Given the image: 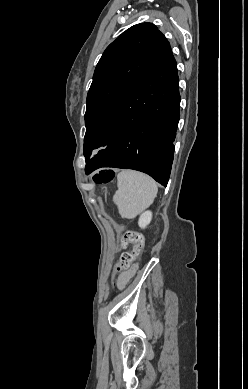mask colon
Here are the masks:
<instances>
[{"label":"colon","mask_w":248,"mask_h":389,"mask_svg":"<svg viewBox=\"0 0 248 389\" xmlns=\"http://www.w3.org/2000/svg\"><path fill=\"white\" fill-rule=\"evenodd\" d=\"M113 178L114 173L111 170H101L94 176V180L98 184H109ZM122 244H131L133 247L130 251H125L121 254L119 262L114 267V274L124 272L130 268L143 248V235L136 231H127L123 236Z\"/></svg>","instance_id":"1"}]
</instances>
